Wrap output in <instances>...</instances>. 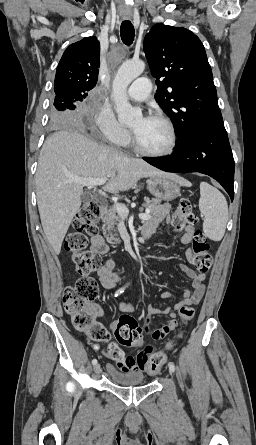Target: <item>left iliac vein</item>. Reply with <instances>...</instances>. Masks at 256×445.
Returning <instances> with one entry per match:
<instances>
[{"mask_svg": "<svg viewBox=\"0 0 256 445\" xmlns=\"http://www.w3.org/2000/svg\"><path fill=\"white\" fill-rule=\"evenodd\" d=\"M169 372L172 373L173 371L171 369H169Z\"/></svg>", "mask_w": 256, "mask_h": 445, "instance_id": "obj_1", "label": "left iliac vein"}]
</instances>
